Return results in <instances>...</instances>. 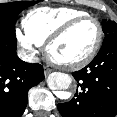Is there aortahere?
I'll use <instances>...</instances> for the list:
<instances>
[{
    "label": "aorta",
    "mask_w": 117,
    "mask_h": 117,
    "mask_svg": "<svg viewBox=\"0 0 117 117\" xmlns=\"http://www.w3.org/2000/svg\"><path fill=\"white\" fill-rule=\"evenodd\" d=\"M47 83L49 88L55 91L59 98L67 99L69 97L65 90L71 86L72 78L68 74L53 72L48 76Z\"/></svg>",
    "instance_id": "762f6f07"
}]
</instances>
